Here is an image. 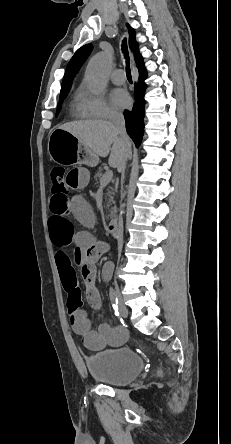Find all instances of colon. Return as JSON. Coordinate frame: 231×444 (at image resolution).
<instances>
[{"label":"colon","mask_w":231,"mask_h":444,"mask_svg":"<svg viewBox=\"0 0 231 444\" xmlns=\"http://www.w3.org/2000/svg\"><path fill=\"white\" fill-rule=\"evenodd\" d=\"M67 173L63 167L56 166L51 170V193L54 198H65L69 193V188L66 184Z\"/></svg>","instance_id":"colon-1"}]
</instances>
